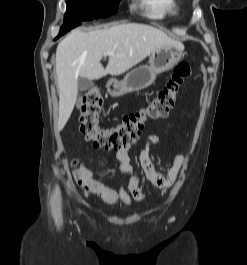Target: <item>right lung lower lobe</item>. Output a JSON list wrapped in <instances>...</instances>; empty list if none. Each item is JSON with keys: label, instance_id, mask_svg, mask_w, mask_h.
I'll use <instances>...</instances> for the list:
<instances>
[{"label": "right lung lower lobe", "instance_id": "1", "mask_svg": "<svg viewBox=\"0 0 247 265\" xmlns=\"http://www.w3.org/2000/svg\"><path fill=\"white\" fill-rule=\"evenodd\" d=\"M80 25V21H75L72 23H64L60 29L58 36L55 39H58L60 36L64 35L69 30L73 29L74 27Z\"/></svg>", "mask_w": 247, "mask_h": 265}]
</instances>
